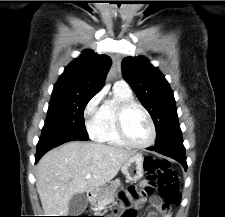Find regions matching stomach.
I'll return each mask as SVG.
<instances>
[{
    "instance_id": "stomach-1",
    "label": "stomach",
    "mask_w": 225,
    "mask_h": 217,
    "mask_svg": "<svg viewBox=\"0 0 225 217\" xmlns=\"http://www.w3.org/2000/svg\"><path fill=\"white\" fill-rule=\"evenodd\" d=\"M122 173L129 181H138L144 174V157L140 153L132 155L121 168ZM115 189V184L112 183L110 186L97 190L92 196V202L99 201L106 194L112 193Z\"/></svg>"
}]
</instances>
